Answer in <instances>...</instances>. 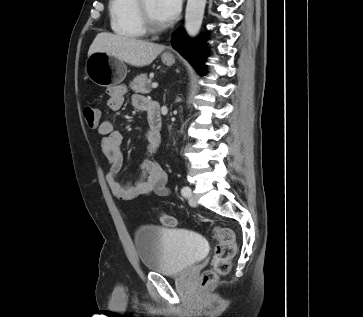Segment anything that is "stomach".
Instances as JSON below:
<instances>
[{
	"mask_svg": "<svg viewBox=\"0 0 363 317\" xmlns=\"http://www.w3.org/2000/svg\"><path fill=\"white\" fill-rule=\"evenodd\" d=\"M162 62L172 66L175 59L172 55L163 54ZM87 77L96 85L109 87L121 83L127 75L124 61L106 52H95L88 56L85 64Z\"/></svg>",
	"mask_w": 363,
	"mask_h": 317,
	"instance_id": "stomach-1",
	"label": "stomach"
}]
</instances>
